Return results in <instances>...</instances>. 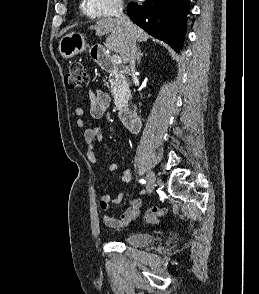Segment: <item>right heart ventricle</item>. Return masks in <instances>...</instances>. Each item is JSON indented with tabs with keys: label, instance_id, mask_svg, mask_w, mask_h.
Returning a JSON list of instances; mask_svg holds the SVG:
<instances>
[{
	"label": "right heart ventricle",
	"instance_id": "right-heart-ventricle-1",
	"mask_svg": "<svg viewBox=\"0 0 259 294\" xmlns=\"http://www.w3.org/2000/svg\"><path fill=\"white\" fill-rule=\"evenodd\" d=\"M82 10L90 17H93L94 14L92 13V11L90 10L88 3L87 4H83L82 5Z\"/></svg>",
	"mask_w": 259,
	"mask_h": 294
}]
</instances>
